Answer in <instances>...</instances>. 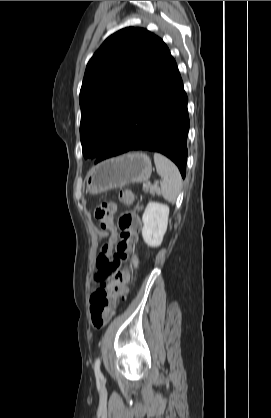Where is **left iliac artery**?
<instances>
[{"mask_svg":"<svg viewBox=\"0 0 271 418\" xmlns=\"http://www.w3.org/2000/svg\"><path fill=\"white\" fill-rule=\"evenodd\" d=\"M94 371L95 375L97 377H102L101 371H100V358H97L94 364Z\"/></svg>","mask_w":271,"mask_h":418,"instance_id":"1","label":"left iliac artery"}]
</instances>
